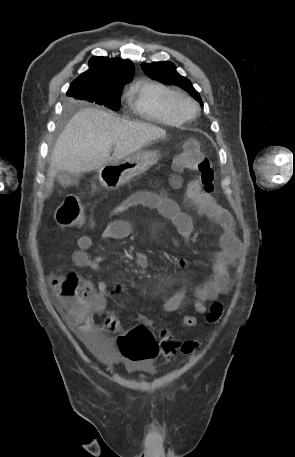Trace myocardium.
<instances>
[{"mask_svg": "<svg viewBox=\"0 0 295 457\" xmlns=\"http://www.w3.org/2000/svg\"><path fill=\"white\" fill-rule=\"evenodd\" d=\"M171 108L182 120H189L196 115L198 104L190 96L176 92L171 98Z\"/></svg>", "mask_w": 295, "mask_h": 457, "instance_id": "f54148a6", "label": "myocardium"}]
</instances>
